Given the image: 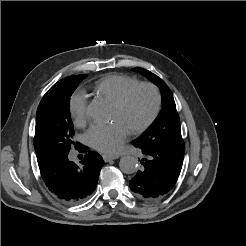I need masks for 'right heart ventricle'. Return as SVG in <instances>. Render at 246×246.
I'll return each instance as SVG.
<instances>
[{"mask_svg":"<svg viewBox=\"0 0 246 246\" xmlns=\"http://www.w3.org/2000/svg\"><path fill=\"white\" fill-rule=\"evenodd\" d=\"M139 83V80L124 74H109L99 79L94 86L95 91L109 99L115 101L125 90Z\"/></svg>","mask_w":246,"mask_h":246,"instance_id":"right-heart-ventricle-1","label":"right heart ventricle"}]
</instances>
